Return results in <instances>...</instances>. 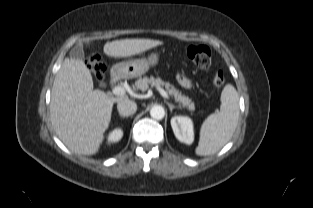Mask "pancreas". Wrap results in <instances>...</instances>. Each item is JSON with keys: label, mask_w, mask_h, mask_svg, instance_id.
Segmentation results:
<instances>
[{"label": "pancreas", "mask_w": 313, "mask_h": 208, "mask_svg": "<svg viewBox=\"0 0 313 208\" xmlns=\"http://www.w3.org/2000/svg\"><path fill=\"white\" fill-rule=\"evenodd\" d=\"M149 85L151 86H164L167 93L174 97L176 102L183 107H186L189 111L195 110L194 102L184 95H182L177 89H175L172 85L168 82H164L161 78H154V77H144L140 78L135 83V89L137 90H146Z\"/></svg>", "instance_id": "pancreas-1"}]
</instances>
